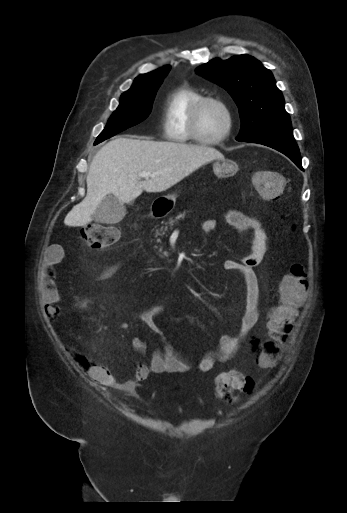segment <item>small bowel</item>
Returning a JSON list of instances; mask_svg holds the SVG:
<instances>
[{"label": "small bowel", "mask_w": 347, "mask_h": 513, "mask_svg": "<svg viewBox=\"0 0 347 513\" xmlns=\"http://www.w3.org/2000/svg\"><path fill=\"white\" fill-rule=\"evenodd\" d=\"M225 222L235 232L247 237L248 248L241 261L229 260L223 264L226 271L235 272L242 280L245 291L244 312L240 317L239 325L234 333H227L220 337L216 349L206 351L198 361V369L201 372H209L214 369L218 362H228L242 350L249 351L253 344L249 340L250 332L259 319L258 301L259 287L256 267L262 262L264 255L269 249V241L261 222L252 216H247L238 210H228L224 214ZM217 222L214 219H206L201 224V229L206 233L214 232ZM60 247H51L44 258L37 275V287L46 306V313L50 318H56L60 314L59 303L60 293L55 283L54 267L60 262ZM122 263L112 264L106 267L100 274L101 280L113 276L121 267ZM88 300L77 301V308L86 309ZM167 310L166 303H160L150 307L140 314L141 321L154 333L164 336V333L157 323V318ZM132 346L139 355L147 351L145 341L136 337L132 340ZM82 370L99 384L112 386L118 384L127 389H134L142 380L146 379L149 373H185L190 370V364L183 359L177 351L166 343L161 350L154 351L149 364L136 362L134 365L133 377L117 382L107 373L106 369L99 363H93L81 359Z\"/></svg>", "instance_id": "small-bowel-1"}]
</instances>
